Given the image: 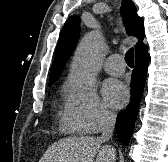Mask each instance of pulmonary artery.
Wrapping results in <instances>:
<instances>
[{
	"mask_svg": "<svg viewBox=\"0 0 168 162\" xmlns=\"http://www.w3.org/2000/svg\"><path fill=\"white\" fill-rule=\"evenodd\" d=\"M104 68L108 74L114 76H120L125 71L124 61L118 54L109 56L105 61Z\"/></svg>",
	"mask_w": 168,
	"mask_h": 162,
	"instance_id": "1",
	"label": "pulmonary artery"
}]
</instances>
